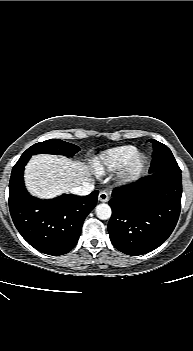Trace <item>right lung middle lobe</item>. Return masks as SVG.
Wrapping results in <instances>:
<instances>
[{"label":"right lung middle lobe","instance_id":"right-lung-middle-lobe-1","mask_svg":"<svg viewBox=\"0 0 193 351\" xmlns=\"http://www.w3.org/2000/svg\"><path fill=\"white\" fill-rule=\"evenodd\" d=\"M79 150L80 148L74 144L60 139H50L32 145L22 154V156H32L35 154H60L72 157Z\"/></svg>","mask_w":193,"mask_h":351}]
</instances>
